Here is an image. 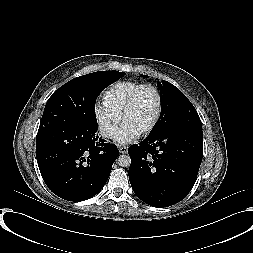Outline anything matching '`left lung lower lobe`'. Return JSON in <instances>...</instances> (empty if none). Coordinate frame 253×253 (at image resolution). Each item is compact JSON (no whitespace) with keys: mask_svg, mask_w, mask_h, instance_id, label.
I'll use <instances>...</instances> for the list:
<instances>
[{"mask_svg":"<svg viewBox=\"0 0 253 253\" xmlns=\"http://www.w3.org/2000/svg\"><path fill=\"white\" fill-rule=\"evenodd\" d=\"M129 179L136 196L150 206L178 203L192 189L203 157L202 130L176 129L149 135L128 149Z\"/></svg>","mask_w":253,"mask_h":253,"instance_id":"1","label":"left lung lower lobe"}]
</instances>
